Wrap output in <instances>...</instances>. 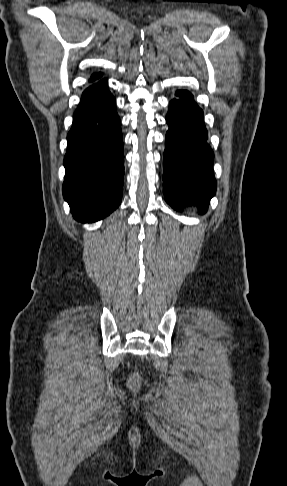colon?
<instances>
[{"label": "colon", "mask_w": 287, "mask_h": 486, "mask_svg": "<svg viewBox=\"0 0 287 486\" xmlns=\"http://www.w3.org/2000/svg\"><path fill=\"white\" fill-rule=\"evenodd\" d=\"M136 384H137V379H136V378H134V379L132 380V385H133V386H135Z\"/></svg>", "instance_id": "obj_1"}]
</instances>
